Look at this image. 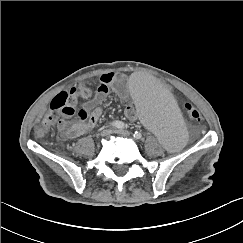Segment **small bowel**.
I'll return each mask as SVG.
<instances>
[{
  "label": "small bowel",
  "instance_id": "obj_1",
  "mask_svg": "<svg viewBox=\"0 0 243 243\" xmlns=\"http://www.w3.org/2000/svg\"><path fill=\"white\" fill-rule=\"evenodd\" d=\"M126 81L127 77L122 73L101 75L95 96L82 105L77 117L71 120L73 114H64L65 118L58 121L57 127L61 136L65 139H73L88 133L102 114L101 103L107 97L110 88H113L121 99L127 98ZM125 115L131 120L137 119L133 106L126 107Z\"/></svg>",
  "mask_w": 243,
  "mask_h": 243
}]
</instances>
